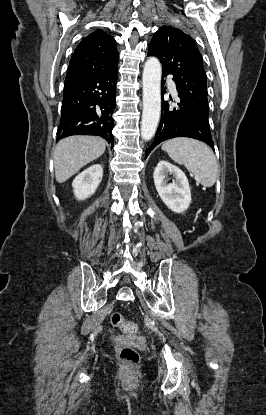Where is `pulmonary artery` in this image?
<instances>
[{"label":"pulmonary artery","mask_w":266,"mask_h":415,"mask_svg":"<svg viewBox=\"0 0 266 415\" xmlns=\"http://www.w3.org/2000/svg\"><path fill=\"white\" fill-rule=\"evenodd\" d=\"M169 88L172 90V91H175V85H174V83L173 82H169Z\"/></svg>","instance_id":"pulmonary-artery-1"}]
</instances>
